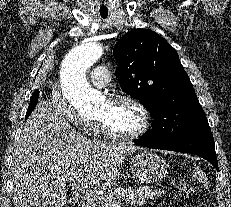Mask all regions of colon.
Masks as SVG:
<instances>
[{
  "instance_id": "1",
  "label": "colon",
  "mask_w": 231,
  "mask_h": 207,
  "mask_svg": "<svg viewBox=\"0 0 231 207\" xmlns=\"http://www.w3.org/2000/svg\"><path fill=\"white\" fill-rule=\"evenodd\" d=\"M178 189L186 199H190L193 196L194 193L193 188L188 183L182 180L178 182Z\"/></svg>"
}]
</instances>
